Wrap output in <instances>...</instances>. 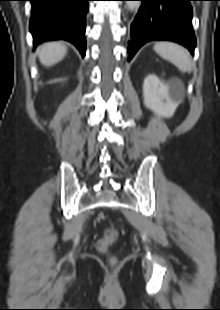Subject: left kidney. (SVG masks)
<instances>
[{
	"label": "left kidney",
	"instance_id": "left-kidney-1",
	"mask_svg": "<svg viewBox=\"0 0 220 310\" xmlns=\"http://www.w3.org/2000/svg\"><path fill=\"white\" fill-rule=\"evenodd\" d=\"M143 96L145 105L158 116L170 118L175 112V107L169 96L168 87L155 75H148L143 83Z\"/></svg>",
	"mask_w": 220,
	"mask_h": 310
}]
</instances>
